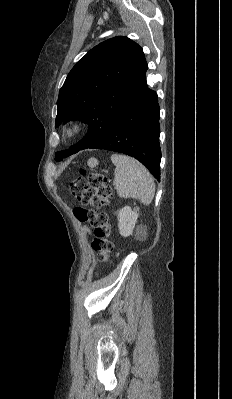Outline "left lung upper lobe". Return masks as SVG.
I'll return each instance as SVG.
<instances>
[{"label":"left lung upper lobe","mask_w":232,"mask_h":399,"mask_svg":"<svg viewBox=\"0 0 232 399\" xmlns=\"http://www.w3.org/2000/svg\"><path fill=\"white\" fill-rule=\"evenodd\" d=\"M147 70L142 48L123 36L91 49L68 74L59 92L55 124L79 119L88 133L69 149L56 153V161L87 149L101 140L135 96Z\"/></svg>","instance_id":"obj_1"}]
</instances>
